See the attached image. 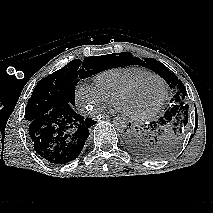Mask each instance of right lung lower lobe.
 <instances>
[{
  "instance_id": "1",
  "label": "right lung lower lobe",
  "mask_w": 213,
  "mask_h": 213,
  "mask_svg": "<svg viewBox=\"0 0 213 213\" xmlns=\"http://www.w3.org/2000/svg\"><path fill=\"white\" fill-rule=\"evenodd\" d=\"M95 122L76 113L71 105H62L27 124L34 149L52 164H66L76 159Z\"/></svg>"
}]
</instances>
